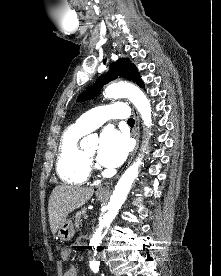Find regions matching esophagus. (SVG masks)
I'll use <instances>...</instances> for the list:
<instances>
[{
    "mask_svg": "<svg viewBox=\"0 0 221 276\" xmlns=\"http://www.w3.org/2000/svg\"><path fill=\"white\" fill-rule=\"evenodd\" d=\"M133 114L135 116L134 137H135V140H136V145H135L134 150L131 152V154L128 158L126 166H128L131 163V161H132V159H133V157H134V155H135V153L138 149V146H139V129H140L139 124H140V119H139V115H138L137 111L134 110V109H133ZM98 192L99 193H104V194L109 193L110 192V186L107 185V186L101 187V188L98 189Z\"/></svg>",
    "mask_w": 221,
    "mask_h": 276,
    "instance_id": "esophagus-1",
    "label": "esophagus"
}]
</instances>
